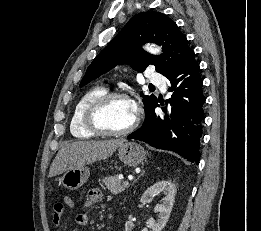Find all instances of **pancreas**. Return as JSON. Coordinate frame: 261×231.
<instances>
[{"instance_id": "cf45deb5", "label": "pancreas", "mask_w": 261, "mask_h": 231, "mask_svg": "<svg viewBox=\"0 0 261 231\" xmlns=\"http://www.w3.org/2000/svg\"><path fill=\"white\" fill-rule=\"evenodd\" d=\"M102 182L105 184L106 188L114 195L124 192L129 185H124L118 176H109L102 179Z\"/></svg>"}]
</instances>
